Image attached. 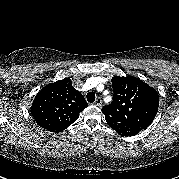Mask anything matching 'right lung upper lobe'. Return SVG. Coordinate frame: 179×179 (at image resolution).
Wrapping results in <instances>:
<instances>
[{
    "label": "right lung upper lobe",
    "mask_w": 179,
    "mask_h": 179,
    "mask_svg": "<svg viewBox=\"0 0 179 179\" xmlns=\"http://www.w3.org/2000/svg\"><path fill=\"white\" fill-rule=\"evenodd\" d=\"M87 106L84 96L73 88L70 78H65L46 85L37 93L31 114L40 127L58 133L75 122Z\"/></svg>",
    "instance_id": "cb5924a9"
}]
</instances>
